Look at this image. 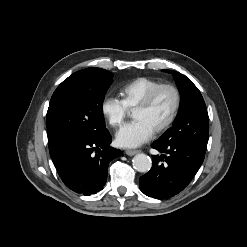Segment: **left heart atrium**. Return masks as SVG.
Instances as JSON below:
<instances>
[{"mask_svg": "<svg viewBox=\"0 0 247 247\" xmlns=\"http://www.w3.org/2000/svg\"><path fill=\"white\" fill-rule=\"evenodd\" d=\"M154 129L143 120L124 124L116 133V142L124 148H134L150 140Z\"/></svg>", "mask_w": 247, "mask_h": 247, "instance_id": "1", "label": "left heart atrium"}]
</instances>
